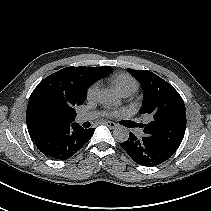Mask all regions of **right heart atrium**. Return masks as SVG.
Instances as JSON below:
<instances>
[{
	"instance_id": "1",
	"label": "right heart atrium",
	"mask_w": 211,
	"mask_h": 211,
	"mask_svg": "<svg viewBox=\"0 0 211 211\" xmlns=\"http://www.w3.org/2000/svg\"><path fill=\"white\" fill-rule=\"evenodd\" d=\"M98 90H99V85L98 83H94L92 84L88 90H87V98L88 99H93L96 97L97 93H98Z\"/></svg>"
}]
</instances>
